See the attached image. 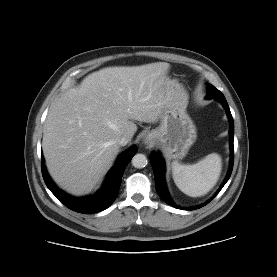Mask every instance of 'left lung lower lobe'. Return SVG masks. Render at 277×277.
<instances>
[{"label":"left lung lower lobe","instance_id":"0a47b994","mask_svg":"<svg viewBox=\"0 0 277 277\" xmlns=\"http://www.w3.org/2000/svg\"><path fill=\"white\" fill-rule=\"evenodd\" d=\"M219 102L225 108V110L227 112V116H228L229 121H230V130H229L230 149H231L230 168H229V171H228V174H227L226 178L224 179V181H223L221 187L219 188V190L217 191V193L210 200L205 202L204 204H201L200 206H197V207L188 208V210L198 209V208H201V207L205 206L206 204H208L220 192V190L223 188V186L229 180L230 175L232 173L233 163H234V148H233L234 121H233V117L231 115V112H230L227 101L226 100H221ZM150 162H151L153 172H154L156 190H157V193L160 196V198L164 202H166L167 204H169V205H171L175 208L182 209L181 207L174 204V202L171 200V197H170V195L168 193V190L166 188V182H165V178H164V176H165V164H164L163 158L157 152L153 151L150 154Z\"/></svg>","mask_w":277,"mask_h":277}]
</instances>
